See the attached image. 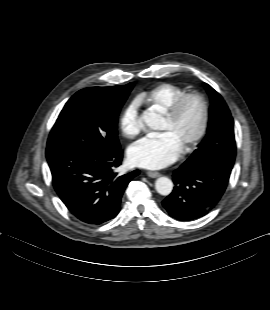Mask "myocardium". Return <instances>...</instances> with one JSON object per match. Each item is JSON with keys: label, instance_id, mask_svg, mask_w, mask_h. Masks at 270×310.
Here are the masks:
<instances>
[{"label": "myocardium", "instance_id": "myocardium-1", "mask_svg": "<svg viewBox=\"0 0 270 310\" xmlns=\"http://www.w3.org/2000/svg\"><path fill=\"white\" fill-rule=\"evenodd\" d=\"M189 100H195L201 107V124L195 135L182 147L183 152H190L204 137L210 118V110L205 97L198 92H187L180 95L165 112V118L169 122H174L181 114L185 104Z\"/></svg>", "mask_w": 270, "mask_h": 310}]
</instances>
